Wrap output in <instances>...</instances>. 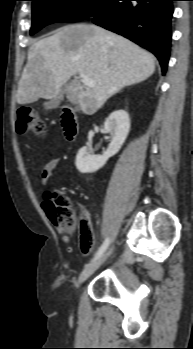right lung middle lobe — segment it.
<instances>
[{
  "instance_id": "1",
  "label": "right lung middle lobe",
  "mask_w": 193,
  "mask_h": 349,
  "mask_svg": "<svg viewBox=\"0 0 193 349\" xmlns=\"http://www.w3.org/2000/svg\"><path fill=\"white\" fill-rule=\"evenodd\" d=\"M32 27L34 34L55 22H77L86 18L101 0H32Z\"/></svg>"
}]
</instances>
